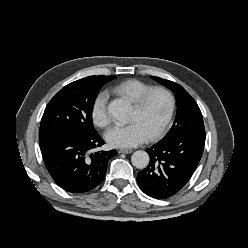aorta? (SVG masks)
<instances>
[{
	"mask_svg": "<svg viewBox=\"0 0 248 248\" xmlns=\"http://www.w3.org/2000/svg\"><path fill=\"white\" fill-rule=\"evenodd\" d=\"M108 113L115 119L124 122L128 119L130 113L129 104L121 99L113 100L108 105ZM149 155L147 152L138 150L135 151L131 156V162L134 167L138 169H144L149 164Z\"/></svg>",
	"mask_w": 248,
	"mask_h": 248,
	"instance_id": "1",
	"label": "aorta"
}]
</instances>
